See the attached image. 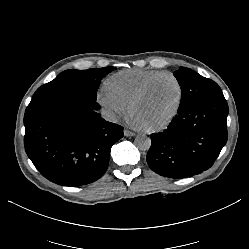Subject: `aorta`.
Masks as SVG:
<instances>
[{"instance_id":"1","label":"aorta","mask_w":249,"mask_h":249,"mask_svg":"<svg viewBox=\"0 0 249 249\" xmlns=\"http://www.w3.org/2000/svg\"><path fill=\"white\" fill-rule=\"evenodd\" d=\"M134 143L139 150L147 151L151 146V139L145 135H138L136 136Z\"/></svg>"}]
</instances>
